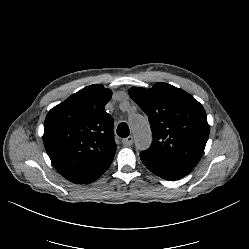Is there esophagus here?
<instances>
[{
    "mask_svg": "<svg viewBox=\"0 0 249 249\" xmlns=\"http://www.w3.org/2000/svg\"><path fill=\"white\" fill-rule=\"evenodd\" d=\"M122 143H123V145H125V146H131V145L133 144V137H132V136H129V137H127V138H124V139L122 140Z\"/></svg>",
    "mask_w": 249,
    "mask_h": 249,
    "instance_id": "34e87169",
    "label": "esophagus"
}]
</instances>
